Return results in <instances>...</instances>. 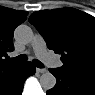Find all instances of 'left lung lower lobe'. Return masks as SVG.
Returning <instances> with one entry per match:
<instances>
[{
  "label": "left lung lower lobe",
  "instance_id": "1",
  "mask_svg": "<svg viewBox=\"0 0 95 95\" xmlns=\"http://www.w3.org/2000/svg\"><path fill=\"white\" fill-rule=\"evenodd\" d=\"M56 77V85L47 95H95V78L58 69H49Z\"/></svg>",
  "mask_w": 95,
  "mask_h": 95
}]
</instances>
